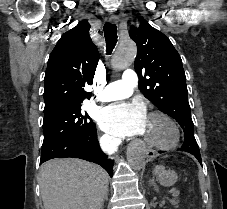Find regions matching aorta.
<instances>
[{
    "instance_id": "aorta-1",
    "label": "aorta",
    "mask_w": 227,
    "mask_h": 209,
    "mask_svg": "<svg viewBox=\"0 0 227 209\" xmlns=\"http://www.w3.org/2000/svg\"><path fill=\"white\" fill-rule=\"evenodd\" d=\"M136 45L132 41L122 42L112 58V66L116 70L129 67L136 56ZM146 151L141 144H132L127 150V160L134 170H140L145 165Z\"/></svg>"
}]
</instances>
